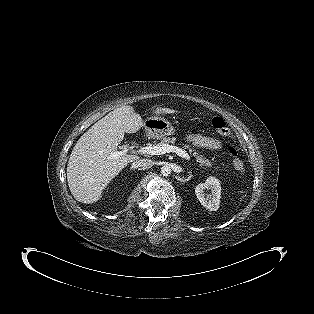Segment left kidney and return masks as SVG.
Wrapping results in <instances>:
<instances>
[{
	"instance_id": "5707ae66",
	"label": "left kidney",
	"mask_w": 314,
	"mask_h": 314,
	"mask_svg": "<svg viewBox=\"0 0 314 314\" xmlns=\"http://www.w3.org/2000/svg\"><path fill=\"white\" fill-rule=\"evenodd\" d=\"M205 189H209L211 193L205 194ZM195 194L205 208L211 211L218 210L221 198V186L217 178L210 176L205 183H199L195 188Z\"/></svg>"
}]
</instances>
